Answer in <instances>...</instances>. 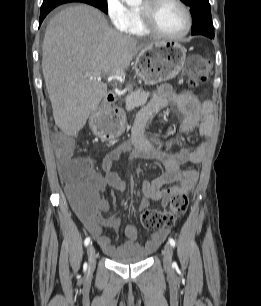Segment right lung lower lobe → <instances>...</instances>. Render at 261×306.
Segmentation results:
<instances>
[{
    "label": "right lung lower lobe",
    "mask_w": 261,
    "mask_h": 306,
    "mask_svg": "<svg viewBox=\"0 0 261 306\" xmlns=\"http://www.w3.org/2000/svg\"><path fill=\"white\" fill-rule=\"evenodd\" d=\"M55 7H48V8H43L41 9L40 12V19H39V25H41L42 21L44 20V18L46 17V15Z\"/></svg>",
    "instance_id": "1"
}]
</instances>
